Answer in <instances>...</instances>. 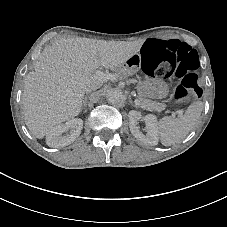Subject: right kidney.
Masks as SVG:
<instances>
[{"instance_id":"ca27d5eb","label":"right kidney","mask_w":227,"mask_h":227,"mask_svg":"<svg viewBox=\"0 0 227 227\" xmlns=\"http://www.w3.org/2000/svg\"><path fill=\"white\" fill-rule=\"evenodd\" d=\"M83 121L79 118H74L66 123H58L51 127L45 135V142L53 148L64 147L76 140L81 134ZM70 130L68 135L61 136L67 130Z\"/></svg>"}]
</instances>
